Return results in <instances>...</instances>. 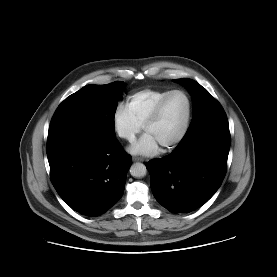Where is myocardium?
Wrapping results in <instances>:
<instances>
[{"label":"myocardium","instance_id":"obj_1","mask_svg":"<svg viewBox=\"0 0 277 277\" xmlns=\"http://www.w3.org/2000/svg\"><path fill=\"white\" fill-rule=\"evenodd\" d=\"M174 94H182L185 96L187 103H188V111H187V117H186V121H185L182 131L179 133V135L176 138H174L172 141H170L169 143L162 146L163 149H165V150L173 149L178 144H180L184 140V138L186 137V135L190 129L192 115H193V102H192V99H191V96L189 95V93L182 89L171 90L158 102L155 109L153 110V112L151 113V115L149 116V118L146 120V122L143 125V128L145 131L148 129V127L153 125L160 118L162 111L164 109V106L167 103V101L169 100V98L171 96H173Z\"/></svg>","mask_w":277,"mask_h":277}]
</instances>
